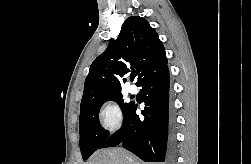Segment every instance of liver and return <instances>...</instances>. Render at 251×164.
Instances as JSON below:
<instances>
[{
	"mask_svg": "<svg viewBox=\"0 0 251 164\" xmlns=\"http://www.w3.org/2000/svg\"><path fill=\"white\" fill-rule=\"evenodd\" d=\"M86 164H144L122 148L100 149Z\"/></svg>",
	"mask_w": 251,
	"mask_h": 164,
	"instance_id": "6515ba94",
	"label": "liver"
}]
</instances>
